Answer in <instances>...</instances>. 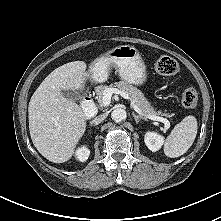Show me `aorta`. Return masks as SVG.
Returning a JSON list of instances; mask_svg holds the SVG:
<instances>
[{
  "label": "aorta",
  "instance_id": "obj_1",
  "mask_svg": "<svg viewBox=\"0 0 221 221\" xmlns=\"http://www.w3.org/2000/svg\"><path fill=\"white\" fill-rule=\"evenodd\" d=\"M111 117L115 122H121L122 120H125L127 117V113L122 108H117L112 111Z\"/></svg>",
  "mask_w": 221,
  "mask_h": 221
}]
</instances>
